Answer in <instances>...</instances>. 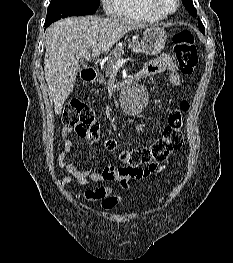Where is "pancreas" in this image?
Returning a JSON list of instances; mask_svg holds the SVG:
<instances>
[{
    "label": "pancreas",
    "mask_w": 233,
    "mask_h": 263,
    "mask_svg": "<svg viewBox=\"0 0 233 263\" xmlns=\"http://www.w3.org/2000/svg\"><path fill=\"white\" fill-rule=\"evenodd\" d=\"M128 46L133 48V49H136V48H140L141 44H140L138 39H135V40L129 41ZM122 53H123L122 47H116L110 53V59L107 61V65L105 67V76L100 75V77H99V83L100 84H106L105 77L109 76L112 73V71L114 70L113 65L120 59Z\"/></svg>",
    "instance_id": "pancreas-1"
}]
</instances>
